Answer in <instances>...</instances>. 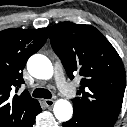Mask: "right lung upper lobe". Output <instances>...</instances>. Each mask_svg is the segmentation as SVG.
<instances>
[{"label": "right lung upper lobe", "mask_w": 127, "mask_h": 127, "mask_svg": "<svg viewBox=\"0 0 127 127\" xmlns=\"http://www.w3.org/2000/svg\"><path fill=\"white\" fill-rule=\"evenodd\" d=\"M47 36L46 28L0 31V127H32L40 113L38 101L26 90L13 97L10 92L24 83L22 70Z\"/></svg>", "instance_id": "1"}]
</instances>
